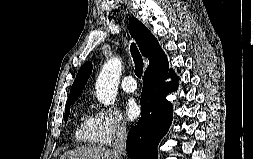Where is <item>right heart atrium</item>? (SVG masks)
<instances>
[{"instance_id":"obj_1","label":"right heart atrium","mask_w":253,"mask_h":159,"mask_svg":"<svg viewBox=\"0 0 253 159\" xmlns=\"http://www.w3.org/2000/svg\"><path fill=\"white\" fill-rule=\"evenodd\" d=\"M95 120L99 130V141L103 145L111 144L128 130L127 123L113 108H99L95 113Z\"/></svg>"}]
</instances>
